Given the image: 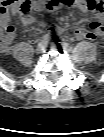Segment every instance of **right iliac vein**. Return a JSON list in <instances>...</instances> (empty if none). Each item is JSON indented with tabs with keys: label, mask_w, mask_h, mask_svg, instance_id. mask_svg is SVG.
Here are the masks:
<instances>
[{
	"label": "right iliac vein",
	"mask_w": 104,
	"mask_h": 137,
	"mask_svg": "<svg viewBox=\"0 0 104 137\" xmlns=\"http://www.w3.org/2000/svg\"><path fill=\"white\" fill-rule=\"evenodd\" d=\"M43 49H44V46L42 43H40L37 45L35 51H36V53H41L43 51Z\"/></svg>",
	"instance_id": "obj_1"
}]
</instances>
